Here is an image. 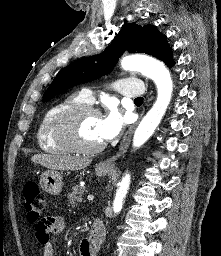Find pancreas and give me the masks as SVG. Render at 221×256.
Instances as JSON below:
<instances>
[{"label":"pancreas","instance_id":"cf45deb5","mask_svg":"<svg viewBox=\"0 0 221 256\" xmlns=\"http://www.w3.org/2000/svg\"><path fill=\"white\" fill-rule=\"evenodd\" d=\"M84 188L76 185L73 187L72 192L68 194V201L72 204H78L83 201Z\"/></svg>","mask_w":221,"mask_h":256}]
</instances>
